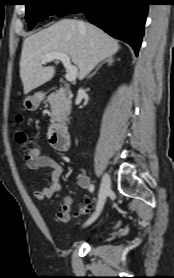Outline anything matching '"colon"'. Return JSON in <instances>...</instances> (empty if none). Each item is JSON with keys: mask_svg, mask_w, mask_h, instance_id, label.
I'll use <instances>...</instances> for the list:
<instances>
[{"mask_svg": "<svg viewBox=\"0 0 174 278\" xmlns=\"http://www.w3.org/2000/svg\"><path fill=\"white\" fill-rule=\"evenodd\" d=\"M17 141L19 144H21L22 146H24L25 142H26V135L23 132H18L17 133ZM39 155V150L37 148H33V147H25L23 150V159L25 161H29L32 160L34 158H36ZM91 207V203L90 201H87L81 208H80V213L81 214H85L89 211Z\"/></svg>", "mask_w": 174, "mask_h": 278, "instance_id": "1", "label": "colon"}]
</instances>
